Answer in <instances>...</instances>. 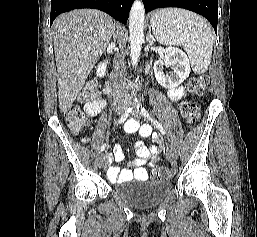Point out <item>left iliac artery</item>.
I'll return each mask as SVG.
<instances>
[{"label":"left iliac artery","instance_id":"obj_1","mask_svg":"<svg viewBox=\"0 0 257 237\" xmlns=\"http://www.w3.org/2000/svg\"><path fill=\"white\" fill-rule=\"evenodd\" d=\"M137 109L140 110L141 114H142L144 117H146L148 120H150L151 123H152L155 127H157L163 135L166 134V131H165V129L163 128V126H162L157 120H155V119L148 113V111H147L140 103L137 104Z\"/></svg>","mask_w":257,"mask_h":237}]
</instances>
